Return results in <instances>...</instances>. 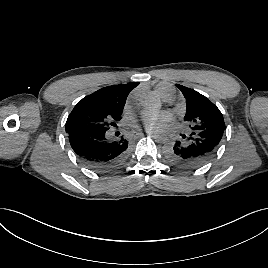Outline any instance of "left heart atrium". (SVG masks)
<instances>
[{"mask_svg":"<svg viewBox=\"0 0 268 268\" xmlns=\"http://www.w3.org/2000/svg\"><path fill=\"white\" fill-rule=\"evenodd\" d=\"M141 119L144 121L147 127L155 126L158 124H168L173 120L170 113H162L160 115H151L149 113H143Z\"/></svg>","mask_w":268,"mask_h":268,"instance_id":"39dd6f15","label":"left heart atrium"}]
</instances>
